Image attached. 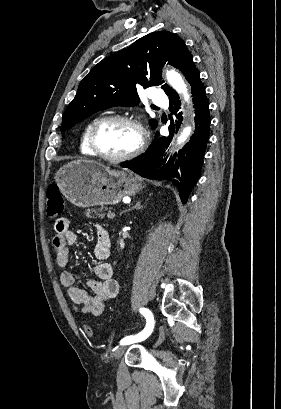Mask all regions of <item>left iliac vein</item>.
Here are the masks:
<instances>
[{"label":"left iliac vein","instance_id":"1","mask_svg":"<svg viewBox=\"0 0 281 409\" xmlns=\"http://www.w3.org/2000/svg\"><path fill=\"white\" fill-rule=\"evenodd\" d=\"M126 348H127L126 345H121L116 349V351L114 353V357H115L116 360H119L122 357V355L124 354Z\"/></svg>","mask_w":281,"mask_h":409}]
</instances>
